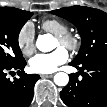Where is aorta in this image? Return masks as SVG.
Returning <instances> with one entry per match:
<instances>
[{"instance_id": "762f6f07", "label": "aorta", "mask_w": 107, "mask_h": 107, "mask_svg": "<svg viewBox=\"0 0 107 107\" xmlns=\"http://www.w3.org/2000/svg\"><path fill=\"white\" fill-rule=\"evenodd\" d=\"M55 40L51 34H44L38 37L36 47L41 52H50L55 48ZM69 82L68 74L64 72L56 73L54 76V83L58 86H66Z\"/></svg>"}]
</instances>
